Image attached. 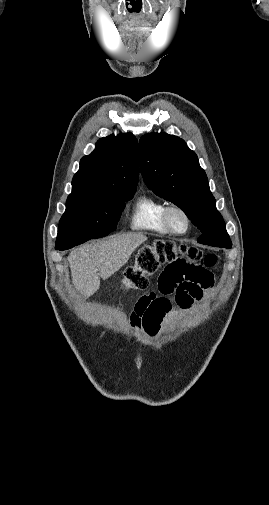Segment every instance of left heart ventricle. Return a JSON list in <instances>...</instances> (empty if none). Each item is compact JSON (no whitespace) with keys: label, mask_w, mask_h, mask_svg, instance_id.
<instances>
[{"label":"left heart ventricle","mask_w":269,"mask_h":505,"mask_svg":"<svg viewBox=\"0 0 269 505\" xmlns=\"http://www.w3.org/2000/svg\"><path fill=\"white\" fill-rule=\"evenodd\" d=\"M171 223L176 230L183 231L187 227V222L184 216L179 212L171 214Z\"/></svg>","instance_id":"b2bd125f"}]
</instances>
